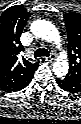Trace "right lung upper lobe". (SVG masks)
I'll return each mask as SVG.
<instances>
[{
    "label": "right lung upper lobe",
    "instance_id": "1",
    "mask_svg": "<svg viewBox=\"0 0 81 124\" xmlns=\"http://www.w3.org/2000/svg\"><path fill=\"white\" fill-rule=\"evenodd\" d=\"M30 13L22 6H12L0 16V89L10 91L24 83L38 67V62L19 59L24 46L20 36Z\"/></svg>",
    "mask_w": 81,
    "mask_h": 124
}]
</instances>
